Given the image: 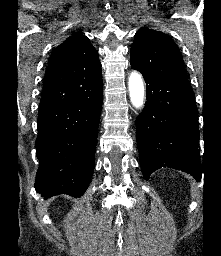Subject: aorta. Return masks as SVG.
<instances>
[{"mask_svg": "<svg viewBox=\"0 0 221 256\" xmlns=\"http://www.w3.org/2000/svg\"><path fill=\"white\" fill-rule=\"evenodd\" d=\"M128 89L130 101L136 109H139L144 104L145 88L142 76L133 71L128 79Z\"/></svg>", "mask_w": 221, "mask_h": 256, "instance_id": "762f6f07", "label": "aorta"}]
</instances>
